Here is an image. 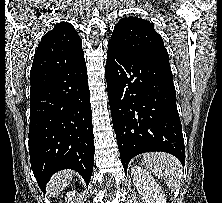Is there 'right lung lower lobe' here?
Segmentation results:
<instances>
[{
	"mask_svg": "<svg viewBox=\"0 0 222 203\" xmlns=\"http://www.w3.org/2000/svg\"><path fill=\"white\" fill-rule=\"evenodd\" d=\"M30 162L41 190L63 169L89 184L94 164L86 64L30 74Z\"/></svg>",
	"mask_w": 222,
	"mask_h": 203,
	"instance_id": "98d812e1",
	"label": "right lung lower lobe"
}]
</instances>
